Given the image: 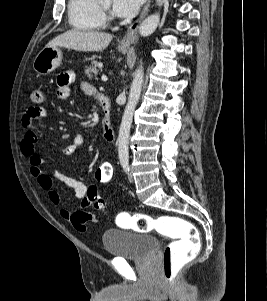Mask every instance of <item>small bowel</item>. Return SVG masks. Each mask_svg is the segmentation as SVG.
<instances>
[{
    "mask_svg": "<svg viewBox=\"0 0 267 301\" xmlns=\"http://www.w3.org/2000/svg\"><path fill=\"white\" fill-rule=\"evenodd\" d=\"M75 79V75L72 71H64L57 77V96L61 99H66L70 96V85ZM80 87L83 92L88 95H96V88L87 83L81 82ZM47 116L46 109L42 107H30L22 118V125L25 128L24 137L20 143L21 153L28 159L30 173L36 178L38 185L47 192L49 200L54 205H59L60 196L55 190L53 185V177L46 174L42 170V159L36 153V144L38 137L36 132L32 129V121ZM84 143L82 135H77L70 143L61 147L60 151L65 156H70ZM62 184L73 190L74 197L77 200L82 201L81 207L77 210H69L62 208L60 215L69 220L72 225L79 231H86L87 224L89 222H95L98 220V216L93 213H88L83 209L89 204L86 200V185L75 178L69 177L61 173H55L53 175Z\"/></svg>",
    "mask_w": 267,
    "mask_h": 301,
    "instance_id": "obj_1",
    "label": "small bowel"
}]
</instances>
